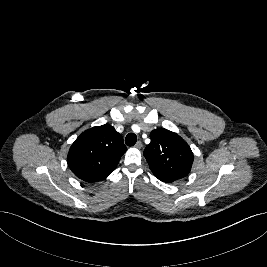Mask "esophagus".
<instances>
[{"instance_id": "34e87169", "label": "esophagus", "mask_w": 267, "mask_h": 267, "mask_svg": "<svg viewBox=\"0 0 267 267\" xmlns=\"http://www.w3.org/2000/svg\"><path fill=\"white\" fill-rule=\"evenodd\" d=\"M135 147L140 149L142 147V142L141 141H138L136 144H135Z\"/></svg>"}]
</instances>
